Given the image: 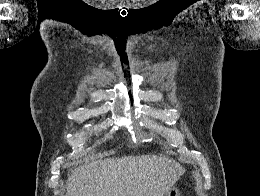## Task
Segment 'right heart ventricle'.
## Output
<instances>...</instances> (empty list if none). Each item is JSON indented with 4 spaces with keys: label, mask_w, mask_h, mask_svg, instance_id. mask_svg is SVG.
I'll return each mask as SVG.
<instances>
[{
    "label": "right heart ventricle",
    "mask_w": 260,
    "mask_h": 196,
    "mask_svg": "<svg viewBox=\"0 0 260 196\" xmlns=\"http://www.w3.org/2000/svg\"><path fill=\"white\" fill-rule=\"evenodd\" d=\"M151 190H114L113 192H150Z\"/></svg>",
    "instance_id": "obj_1"
}]
</instances>
